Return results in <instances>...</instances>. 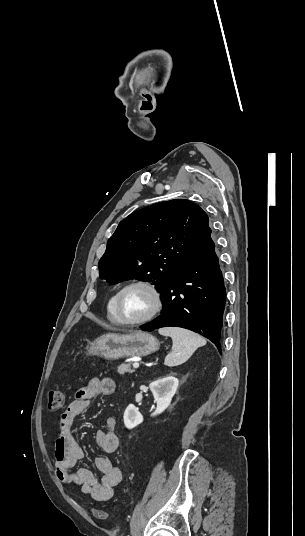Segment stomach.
Instances as JSON below:
<instances>
[{
	"label": "stomach",
	"instance_id": "obj_1",
	"mask_svg": "<svg viewBox=\"0 0 305 536\" xmlns=\"http://www.w3.org/2000/svg\"><path fill=\"white\" fill-rule=\"evenodd\" d=\"M160 342L147 332L132 334H105L90 344L87 356H100L105 360L133 358V356H149L157 352Z\"/></svg>",
	"mask_w": 305,
	"mask_h": 536
}]
</instances>
